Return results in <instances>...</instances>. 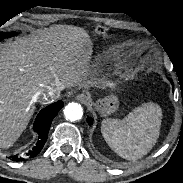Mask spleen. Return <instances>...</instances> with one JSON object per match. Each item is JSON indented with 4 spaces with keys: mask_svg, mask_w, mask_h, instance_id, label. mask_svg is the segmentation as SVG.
<instances>
[{
    "mask_svg": "<svg viewBox=\"0 0 183 183\" xmlns=\"http://www.w3.org/2000/svg\"><path fill=\"white\" fill-rule=\"evenodd\" d=\"M161 124V109L148 102L133 109L124 119L105 118L102 134L121 157L134 160L147 154L156 143Z\"/></svg>",
    "mask_w": 183,
    "mask_h": 183,
    "instance_id": "spleen-1",
    "label": "spleen"
}]
</instances>
